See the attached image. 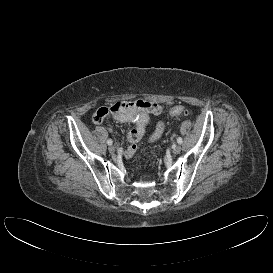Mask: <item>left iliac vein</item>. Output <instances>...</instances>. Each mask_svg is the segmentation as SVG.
<instances>
[{"instance_id": "obj_1", "label": "left iliac vein", "mask_w": 273, "mask_h": 273, "mask_svg": "<svg viewBox=\"0 0 273 273\" xmlns=\"http://www.w3.org/2000/svg\"><path fill=\"white\" fill-rule=\"evenodd\" d=\"M181 146L180 145H175L173 147V154H179L181 152Z\"/></svg>"}]
</instances>
